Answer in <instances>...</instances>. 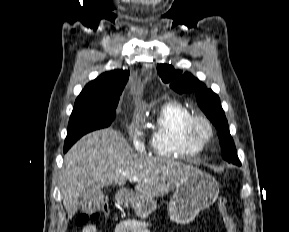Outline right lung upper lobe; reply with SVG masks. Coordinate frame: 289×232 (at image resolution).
<instances>
[{
  "instance_id": "right-lung-upper-lobe-1",
  "label": "right lung upper lobe",
  "mask_w": 289,
  "mask_h": 232,
  "mask_svg": "<svg viewBox=\"0 0 289 232\" xmlns=\"http://www.w3.org/2000/svg\"><path fill=\"white\" fill-rule=\"evenodd\" d=\"M129 71L113 70L103 73L95 80L88 83L78 98H120L128 80Z\"/></svg>"
}]
</instances>
